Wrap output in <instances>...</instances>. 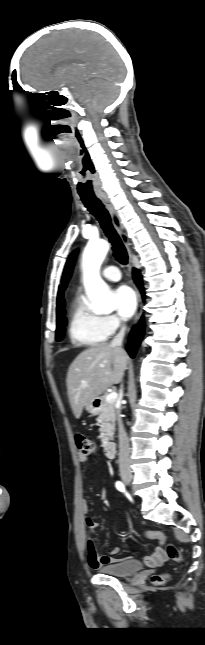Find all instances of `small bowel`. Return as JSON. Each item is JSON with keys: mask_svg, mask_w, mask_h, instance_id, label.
Instances as JSON below:
<instances>
[{"mask_svg": "<svg viewBox=\"0 0 205 645\" xmlns=\"http://www.w3.org/2000/svg\"><path fill=\"white\" fill-rule=\"evenodd\" d=\"M78 460L80 462H86L87 457L79 455ZM82 507L84 512L88 511L89 506L86 500L83 501ZM86 524L89 530H93L97 526L96 522H94L90 518L86 520ZM163 542L164 541H161V543ZM86 548H87V560L91 568H100L104 565L116 563L123 560L121 558H118V554L120 552L118 548H114L108 554L100 555L97 552L93 542L90 539L87 540ZM166 560H167V554L162 545L158 546L151 555L144 557V563L150 567L160 566L164 562H166Z\"/></svg>", "mask_w": 205, "mask_h": 645, "instance_id": "obj_1", "label": "small bowel"}]
</instances>
